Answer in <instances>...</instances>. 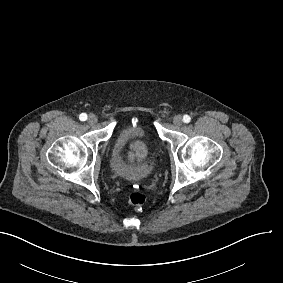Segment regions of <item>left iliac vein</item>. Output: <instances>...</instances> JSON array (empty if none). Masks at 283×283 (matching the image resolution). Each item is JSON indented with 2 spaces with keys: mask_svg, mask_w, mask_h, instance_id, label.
<instances>
[{
  "mask_svg": "<svg viewBox=\"0 0 283 283\" xmlns=\"http://www.w3.org/2000/svg\"><path fill=\"white\" fill-rule=\"evenodd\" d=\"M182 122H183L182 116H180V115L174 116V118H173V123H174L176 126H181Z\"/></svg>",
  "mask_w": 283,
  "mask_h": 283,
  "instance_id": "left-iliac-vein-1",
  "label": "left iliac vein"
}]
</instances>
